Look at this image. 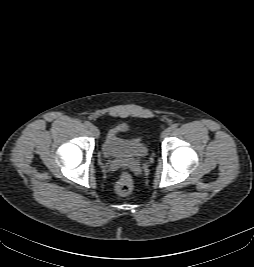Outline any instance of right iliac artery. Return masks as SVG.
<instances>
[{
  "label": "right iliac artery",
  "instance_id": "1",
  "mask_svg": "<svg viewBox=\"0 0 254 267\" xmlns=\"http://www.w3.org/2000/svg\"><path fill=\"white\" fill-rule=\"evenodd\" d=\"M84 125H85L86 127H90V126H91V123L88 122V121H86V122H84Z\"/></svg>",
  "mask_w": 254,
  "mask_h": 267
}]
</instances>
